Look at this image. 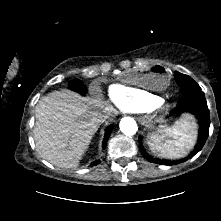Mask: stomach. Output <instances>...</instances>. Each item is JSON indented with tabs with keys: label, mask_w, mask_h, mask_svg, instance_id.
<instances>
[{
	"label": "stomach",
	"mask_w": 221,
	"mask_h": 221,
	"mask_svg": "<svg viewBox=\"0 0 221 221\" xmlns=\"http://www.w3.org/2000/svg\"><path fill=\"white\" fill-rule=\"evenodd\" d=\"M127 83L148 90L164 91L169 86L168 69L163 64H150L146 69L130 67L124 74Z\"/></svg>",
	"instance_id": "0dacf381"
}]
</instances>
